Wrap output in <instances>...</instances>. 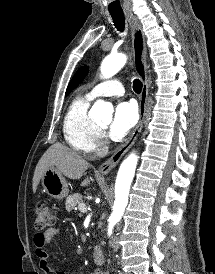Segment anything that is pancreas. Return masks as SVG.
Here are the masks:
<instances>
[{
	"label": "pancreas",
	"instance_id": "pancreas-1",
	"mask_svg": "<svg viewBox=\"0 0 215 274\" xmlns=\"http://www.w3.org/2000/svg\"><path fill=\"white\" fill-rule=\"evenodd\" d=\"M82 197L80 194L75 193L73 195H69L65 201V207L68 212H71L72 210L76 209L79 204H81Z\"/></svg>",
	"mask_w": 215,
	"mask_h": 274
}]
</instances>
